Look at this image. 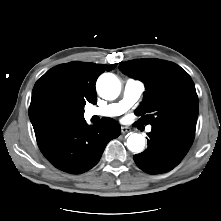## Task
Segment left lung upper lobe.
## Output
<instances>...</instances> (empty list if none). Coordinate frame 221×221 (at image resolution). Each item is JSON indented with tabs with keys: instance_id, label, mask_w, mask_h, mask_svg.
I'll list each match as a JSON object with an SVG mask.
<instances>
[{
	"instance_id": "5c2ea615",
	"label": "left lung upper lobe",
	"mask_w": 221,
	"mask_h": 221,
	"mask_svg": "<svg viewBox=\"0 0 221 221\" xmlns=\"http://www.w3.org/2000/svg\"><path fill=\"white\" fill-rule=\"evenodd\" d=\"M125 75L145 84L144 99L135 114L138 123L164 125L195 135L198 97L190 75L173 62L136 59L120 64Z\"/></svg>"
}]
</instances>
